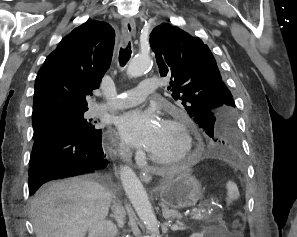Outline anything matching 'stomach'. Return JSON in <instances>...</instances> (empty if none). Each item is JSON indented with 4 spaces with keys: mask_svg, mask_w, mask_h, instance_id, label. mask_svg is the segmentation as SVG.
<instances>
[{
    "mask_svg": "<svg viewBox=\"0 0 297 237\" xmlns=\"http://www.w3.org/2000/svg\"><path fill=\"white\" fill-rule=\"evenodd\" d=\"M162 205L172 208H190L203 197L201 183L190 171L165 182L159 189Z\"/></svg>",
    "mask_w": 297,
    "mask_h": 237,
    "instance_id": "obj_1",
    "label": "stomach"
}]
</instances>
